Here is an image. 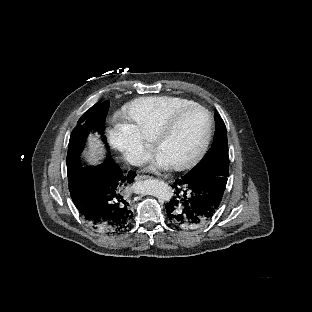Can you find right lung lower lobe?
I'll list each match as a JSON object with an SVG mask.
<instances>
[{"mask_svg": "<svg viewBox=\"0 0 312 312\" xmlns=\"http://www.w3.org/2000/svg\"><path fill=\"white\" fill-rule=\"evenodd\" d=\"M135 175L123 173L111 156L102 165L73 171L69 190L86 223L107 235L125 231L133 216L125 187Z\"/></svg>", "mask_w": 312, "mask_h": 312, "instance_id": "obj_1", "label": "right lung lower lobe"}]
</instances>
